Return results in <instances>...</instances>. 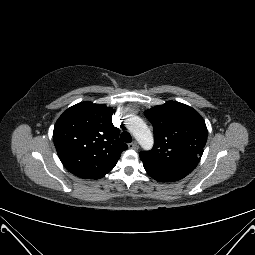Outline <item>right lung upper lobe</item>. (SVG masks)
<instances>
[{"mask_svg":"<svg viewBox=\"0 0 255 255\" xmlns=\"http://www.w3.org/2000/svg\"><path fill=\"white\" fill-rule=\"evenodd\" d=\"M112 114V108L87 101L68 108L59 117L53 141L61 162L72 174L100 179L127 149L119 139V129L112 124Z\"/></svg>","mask_w":255,"mask_h":255,"instance_id":"right-lung-upper-lobe-1","label":"right lung upper lobe"}]
</instances>
